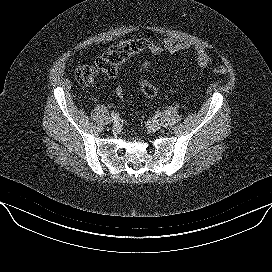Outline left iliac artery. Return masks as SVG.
<instances>
[{
  "label": "left iliac artery",
  "mask_w": 272,
  "mask_h": 272,
  "mask_svg": "<svg viewBox=\"0 0 272 272\" xmlns=\"http://www.w3.org/2000/svg\"><path fill=\"white\" fill-rule=\"evenodd\" d=\"M158 117H161L162 115H161V112H157V114H156Z\"/></svg>",
  "instance_id": "left-iliac-artery-1"
}]
</instances>
